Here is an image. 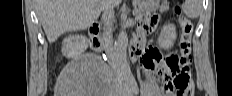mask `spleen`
<instances>
[{
	"mask_svg": "<svg viewBox=\"0 0 232 96\" xmlns=\"http://www.w3.org/2000/svg\"><path fill=\"white\" fill-rule=\"evenodd\" d=\"M184 14L191 18H197L202 12V1L201 0H185L182 5Z\"/></svg>",
	"mask_w": 232,
	"mask_h": 96,
	"instance_id": "obj_1",
	"label": "spleen"
}]
</instances>
